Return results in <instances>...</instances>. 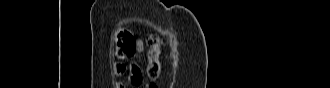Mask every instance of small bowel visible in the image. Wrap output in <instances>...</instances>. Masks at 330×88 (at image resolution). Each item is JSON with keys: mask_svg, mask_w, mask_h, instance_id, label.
Returning <instances> with one entry per match:
<instances>
[{"mask_svg": "<svg viewBox=\"0 0 330 88\" xmlns=\"http://www.w3.org/2000/svg\"><path fill=\"white\" fill-rule=\"evenodd\" d=\"M135 45V51L140 53L143 50L141 41L136 39ZM112 72L115 76H126L128 82L131 85L138 86L142 82V72L136 65L128 67L123 63H118L113 66Z\"/></svg>", "mask_w": 330, "mask_h": 88, "instance_id": "small-bowel-1", "label": "small bowel"}]
</instances>
